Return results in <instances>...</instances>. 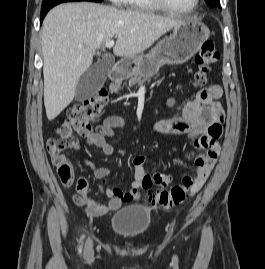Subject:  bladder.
<instances>
[{
	"instance_id": "obj_1",
	"label": "bladder",
	"mask_w": 265,
	"mask_h": 269,
	"mask_svg": "<svg viewBox=\"0 0 265 269\" xmlns=\"http://www.w3.org/2000/svg\"><path fill=\"white\" fill-rule=\"evenodd\" d=\"M152 223L151 210L140 205L122 208L112 215L110 227L113 233L124 238H137L145 234Z\"/></svg>"
}]
</instances>
